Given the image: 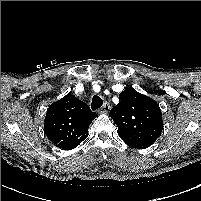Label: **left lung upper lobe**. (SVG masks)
<instances>
[{
    "instance_id": "obj_1",
    "label": "left lung upper lobe",
    "mask_w": 201,
    "mask_h": 201,
    "mask_svg": "<svg viewBox=\"0 0 201 201\" xmlns=\"http://www.w3.org/2000/svg\"><path fill=\"white\" fill-rule=\"evenodd\" d=\"M120 102L111 109L119 137L134 148H147L159 137L163 127L159 105L152 98L127 88L119 94Z\"/></svg>"
}]
</instances>
